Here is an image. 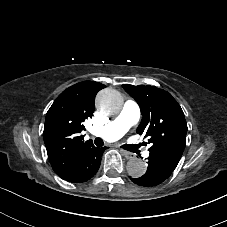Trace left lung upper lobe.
Wrapping results in <instances>:
<instances>
[{
	"mask_svg": "<svg viewBox=\"0 0 227 227\" xmlns=\"http://www.w3.org/2000/svg\"><path fill=\"white\" fill-rule=\"evenodd\" d=\"M140 106L143 116L137 133H145L150 155L177 166L186 145L187 123L170 93L154 86L122 85Z\"/></svg>",
	"mask_w": 227,
	"mask_h": 227,
	"instance_id": "obj_1",
	"label": "left lung upper lobe"
}]
</instances>
